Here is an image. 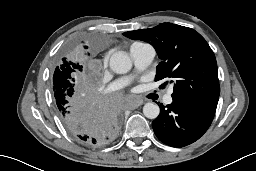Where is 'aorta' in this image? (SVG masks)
<instances>
[{
  "label": "aorta",
  "mask_w": 256,
  "mask_h": 171,
  "mask_svg": "<svg viewBox=\"0 0 256 171\" xmlns=\"http://www.w3.org/2000/svg\"><path fill=\"white\" fill-rule=\"evenodd\" d=\"M110 68L118 74H125L132 68L130 57L123 51L115 52L110 58ZM160 113V108L157 104L149 102L143 107V114L149 119H155Z\"/></svg>",
  "instance_id": "1"
}]
</instances>
